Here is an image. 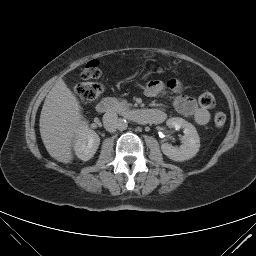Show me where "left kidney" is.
Segmentation results:
<instances>
[{"label":"left kidney","instance_id":"left-kidney-1","mask_svg":"<svg viewBox=\"0 0 256 256\" xmlns=\"http://www.w3.org/2000/svg\"><path fill=\"white\" fill-rule=\"evenodd\" d=\"M166 125L169 128L183 129L184 136L182 145L174 147L168 143H164L161 146L162 152L171 160L185 161L193 158L200 147V139L196 128L189 122L182 118H170L166 121Z\"/></svg>","mask_w":256,"mask_h":256}]
</instances>
